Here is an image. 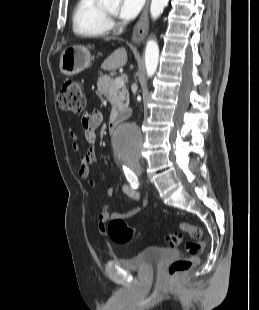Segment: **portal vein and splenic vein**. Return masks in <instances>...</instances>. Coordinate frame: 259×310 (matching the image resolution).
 <instances>
[{"label": "portal vein and splenic vein", "instance_id": "obj_1", "mask_svg": "<svg viewBox=\"0 0 259 310\" xmlns=\"http://www.w3.org/2000/svg\"><path fill=\"white\" fill-rule=\"evenodd\" d=\"M114 86L115 88H122L124 86V78L123 77H117L115 80H114Z\"/></svg>", "mask_w": 259, "mask_h": 310}]
</instances>
